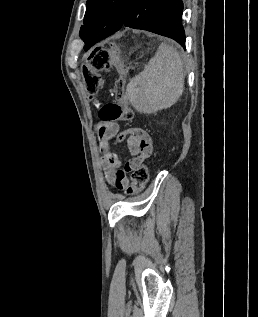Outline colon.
<instances>
[{"instance_id": "colon-1", "label": "colon", "mask_w": 258, "mask_h": 317, "mask_svg": "<svg viewBox=\"0 0 258 317\" xmlns=\"http://www.w3.org/2000/svg\"><path fill=\"white\" fill-rule=\"evenodd\" d=\"M111 56L106 48L98 47L92 50L86 57L83 66V76L87 90L91 95L98 92L102 79L99 72L109 68ZM116 101L104 104L99 111V118L102 122L129 121L133 118V110L125 100V81L119 78L115 85ZM148 169L145 165L135 168L131 173V183L127 189L128 194H135L142 191L148 181Z\"/></svg>"}]
</instances>
